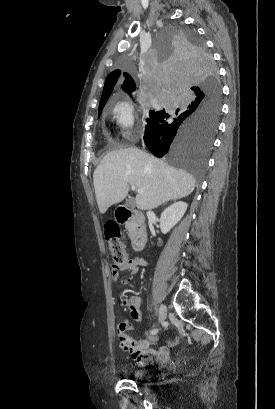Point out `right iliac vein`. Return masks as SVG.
Listing matches in <instances>:
<instances>
[{"mask_svg":"<svg viewBox=\"0 0 275 409\" xmlns=\"http://www.w3.org/2000/svg\"><path fill=\"white\" fill-rule=\"evenodd\" d=\"M166 314H167V307L162 304L160 306L159 313H158V320L160 323H162L165 320Z\"/></svg>","mask_w":275,"mask_h":409,"instance_id":"right-iliac-vein-1","label":"right iliac vein"}]
</instances>
